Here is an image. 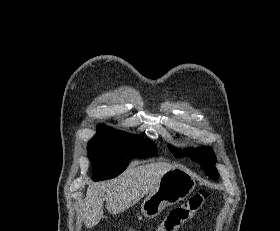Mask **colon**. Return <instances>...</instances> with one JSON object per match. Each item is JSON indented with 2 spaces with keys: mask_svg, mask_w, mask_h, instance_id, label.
<instances>
[{
  "mask_svg": "<svg viewBox=\"0 0 280 231\" xmlns=\"http://www.w3.org/2000/svg\"><path fill=\"white\" fill-rule=\"evenodd\" d=\"M208 196L209 194L207 191L199 190L191 195L179 208H173L172 215L168 216L169 220L163 221L164 225H162L160 231L180 230V225H188V220H195L196 216L191 214L200 212V208L206 202Z\"/></svg>",
  "mask_w": 280,
  "mask_h": 231,
  "instance_id": "colon-1",
  "label": "colon"
}]
</instances>
